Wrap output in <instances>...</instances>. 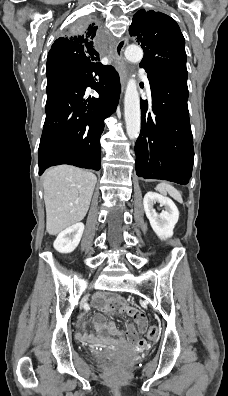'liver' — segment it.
Wrapping results in <instances>:
<instances>
[{
	"instance_id": "obj_1",
	"label": "liver",
	"mask_w": 228,
	"mask_h": 396,
	"mask_svg": "<svg viewBox=\"0 0 228 396\" xmlns=\"http://www.w3.org/2000/svg\"><path fill=\"white\" fill-rule=\"evenodd\" d=\"M97 182L88 171L60 165L44 174L46 231L56 235L84 219Z\"/></svg>"
}]
</instances>
